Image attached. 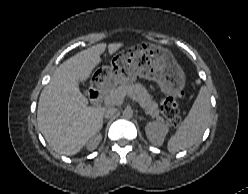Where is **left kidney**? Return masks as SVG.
Listing matches in <instances>:
<instances>
[{
    "label": "left kidney",
    "instance_id": "obj_1",
    "mask_svg": "<svg viewBox=\"0 0 248 194\" xmlns=\"http://www.w3.org/2000/svg\"><path fill=\"white\" fill-rule=\"evenodd\" d=\"M145 132L153 145L161 146L168 133V126L158 121L149 122L145 127Z\"/></svg>",
    "mask_w": 248,
    "mask_h": 194
}]
</instances>
